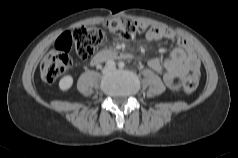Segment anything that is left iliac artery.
Masks as SVG:
<instances>
[{"label": "left iliac artery", "mask_w": 238, "mask_h": 158, "mask_svg": "<svg viewBox=\"0 0 238 158\" xmlns=\"http://www.w3.org/2000/svg\"><path fill=\"white\" fill-rule=\"evenodd\" d=\"M118 66H119V68H124L125 64H124V62H119Z\"/></svg>", "instance_id": "obj_1"}]
</instances>
